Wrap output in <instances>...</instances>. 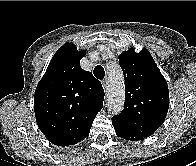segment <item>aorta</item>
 Here are the masks:
<instances>
[{
  "label": "aorta",
  "mask_w": 196,
  "mask_h": 166,
  "mask_svg": "<svg viewBox=\"0 0 196 166\" xmlns=\"http://www.w3.org/2000/svg\"><path fill=\"white\" fill-rule=\"evenodd\" d=\"M125 86L123 75L119 68L108 72L107 107L112 114H119L123 110Z\"/></svg>",
  "instance_id": "1"
}]
</instances>
